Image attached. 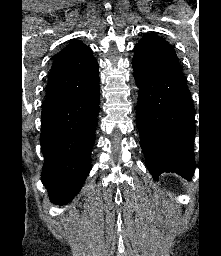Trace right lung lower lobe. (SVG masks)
<instances>
[{"mask_svg":"<svg viewBox=\"0 0 221 256\" xmlns=\"http://www.w3.org/2000/svg\"><path fill=\"white\" fill-rule=\"evenodd\" d=\"M99 87L89 94L42 110V183L52 203L66 204L91 170V151L99 112Z\"/></svg>","mask_w":221,"mask_h":256,"instance_id":"obj_1","label":"right lung lower lobe"}]
</instances>
